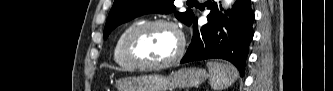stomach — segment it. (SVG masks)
Wrapping results in <instances>:
<instances>
[{
	"label": "stomach",
	"instance_id": "0dacf381",
	"mask_svg": "<svg viewBox=\"0 0 333 91\" xmlns=\"http://www.w3.org/2000/svg\"><path fill=\"white\" fill-rule=\"evenodd\" d=\"M207 72L201 68H182L170 76L143 75L126 77L116 82L118 91H172L174 88L195 87L204 82Z\"/></svg>",
	"mask_w": 333,
	"mask_h": 91
}]
</instances>
